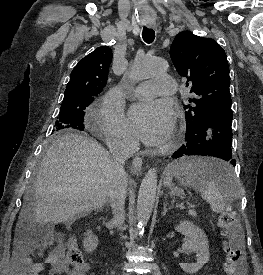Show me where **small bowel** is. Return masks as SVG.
<instances>
[{
  "label": "small bowel",
  "mask_w": 263,
  "mask_h": 275,
  "mask_svg": "<svg viewBox=\"0 0 263 275\" xmlns=\"http://www.w3.org/2000/svg\"><path fill=\"white\" fill-rule=\"evenodd\" d=\"M55 242L52 232H47L38 245H28L19 256V263L23 275H85L87 266L82 269H69L67 258L62 245L57 244L52 249H47ZM31 252L34 254L31 255ZM41 260H37V259ZM46 265L49 270L45 273Z\"/></svg>",
  "instance_id": "c3829d8e"
}]
</instances>
